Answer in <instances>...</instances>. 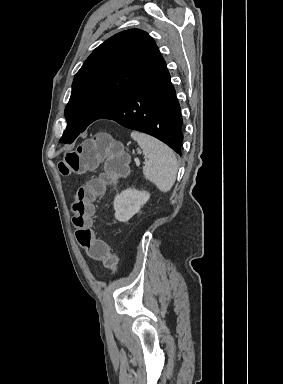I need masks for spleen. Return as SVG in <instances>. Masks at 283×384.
I'll use <instances>...</instances> for the list:
<instances>
[{"mask_svg":"<svg viewBox=\"0 0 283 384\" xmlns=\"http://www.w3.org/2000/svg\"><path fill=\"white\" fill-rule=\"evenodd\" d=\"M131 138L138 142L145 158H148L143 174L146 180L157 186L160 192H169L175 184L178 166L176 156L163 142L147 134L132 132Z\"/></svg>","mask_w":283,"mask_h":384,"instance_id":"3e777b00","label":"spleen"}]
</instances>
